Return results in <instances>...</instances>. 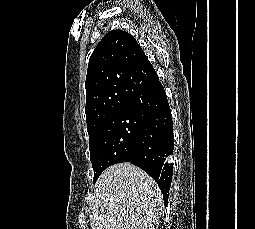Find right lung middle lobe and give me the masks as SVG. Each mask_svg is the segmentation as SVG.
Here are the masks:
<instances>
[{
    "mask_svg": "<svg viewBox=\"0 0 255 229\" xmlns=\"http://www.w3.org/2000/svg\"><path fill=\"white\" fill-rule=\"evenodd\" d=\"M140 125L141 120L137 115L123 109L103 122L89 136L90 160L94 170L93 183L107 167L130 160Z\"/></svg>",
    "mask_w": 255,
    "mask_h": 229,
    "instance_id": "right-lung-middle-lobe-1",
    "label": "right lung middle lobe"
}]
</instances>
